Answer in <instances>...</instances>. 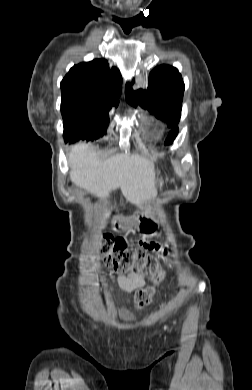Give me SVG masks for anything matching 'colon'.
I'll use <instances>...</instances> for the list:
<instances>
[{"label": "colon", "mask_w": 252, "mask_h": 390, "mask_svg": "<svg viewBox=\"0 0 252 390\" xmlns=\"http://www.w3.org/2000/svg\"><path fill=\"white\" fill-rule=\"evenodd\" d=\"M145 231H151L145 227ZM148 242L141 241L137 247H131L122 237L106 236L101 244L100 255L106 266L116 273H137L151 275L152 284L138 289L134 296L135 306L142 308L148 305L155 294L156 287L163 279V272L156 258L147 251Z\"/></svg>", "instance_id": "1"}]
</instances>
